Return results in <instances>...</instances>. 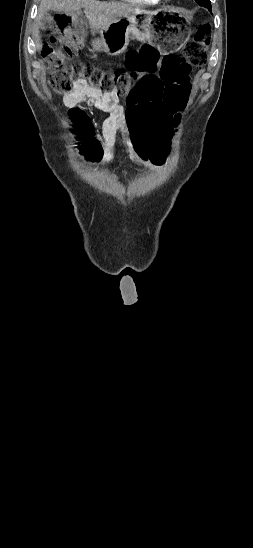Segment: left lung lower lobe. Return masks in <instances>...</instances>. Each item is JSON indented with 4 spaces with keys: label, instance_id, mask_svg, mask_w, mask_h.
Instances as JSON below:
<instances>
[{
    "label": "left lung lower lobe",
    "instance_id": "obj_1",
    "mask_svg": "<svg viewBox=\"0 0 253 548\" xmlns=\"http://www.w3.org/2000/svg\"><path fill=\"white\" fill-rule=\"evenodd\" d=\"M198 4H200L201 6H204L206 8H208L209 10H211V3H210V0H195Z\"/></svg>",
    "mask_w": 253,
    "mask_h": 548
}]
</instances>
